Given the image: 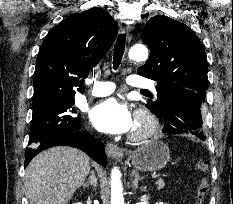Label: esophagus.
<instances>
[{
	"label": "esophagus",
	"mask_w": 233,
	"mask_h": 204,
	"mask_svg": "<svg viewBox=\"0 0 233 204\" xmlns=\"http://www.w3.org/2000/svg\"><path fill=\"white\" fill-rule=\"evenodd\" d=\"M124 32L127 35V40L131 41L132 38V27L131 26H126L124 27ZM106 154L112 158H118L123 155V149L118 147L114 143H107L105 147Z\"/></svg>",
	"instance_id": "obj_1"
}]
</instances>
